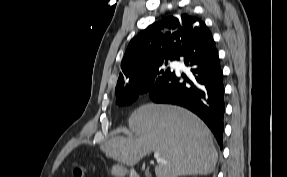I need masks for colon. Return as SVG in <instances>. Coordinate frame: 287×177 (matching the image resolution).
Returning <instances> with one entry per match:
<instances>
[{
  "mask_svg": "<svg viewBox=\"0 0 287 177\" xmlns=\"http://www.w3.org/2000/svg\"><path fill=\"white\" fill-rule=\"evenodd\" d=\"M74 175H75L76 177H85V176H86V173H85V171L82 170V169H77V170H75Z\"/></svg>",
  "mask_w": 287,
  "mask_h": 177,
  "instance_id": "colon-1",
  "label": "colon"
}]
</instances>
